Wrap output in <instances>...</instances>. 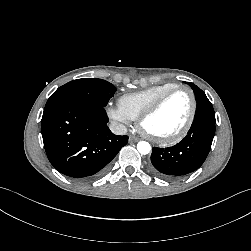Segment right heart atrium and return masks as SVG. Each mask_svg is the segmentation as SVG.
Returning a JSON list of instances; mask_svg holds the SVG:
<instances>
[{"mask_svg":"<svg viewBox=\"0 0 251 251\" xmlns=\"http://www.w3.org/2000/svg\"><path fill=\"white\" fill-rule=\"evenodd\" d=\"M108 117L116 124L127 125L130 118L120 109L119 106L108 105L106 108Z\"/></svg>","mask_w":251,"mask_h":251,"instance_id":"right-heart-atrium-1","label":"right heart atrium"}]
</instances>
